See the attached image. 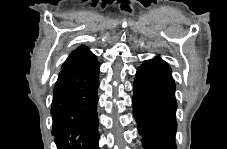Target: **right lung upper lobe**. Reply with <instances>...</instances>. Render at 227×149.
I'll list each match as a JSON object with an SVG mask.
<instances>
[{
    "instance_id": "cb5924a9",
    "label": "right lung upper lobe",
    "mask_w": 227,
    "mask_h": 149,
    "mask_svg": "<svg viewBox=\"0 0 227 149\" xmlns=\"http://www.w3.org/2000/svg\"><path fill=\"white\" fill-rule=\"evenodd\" d=\"M92 57H95V55H93L87 47L79 46L76 50L71 52L67 60L62 65V68H66L75 63L90 59Z\"/></svg>"
}]
</instances>
